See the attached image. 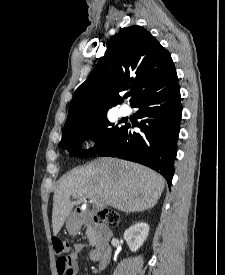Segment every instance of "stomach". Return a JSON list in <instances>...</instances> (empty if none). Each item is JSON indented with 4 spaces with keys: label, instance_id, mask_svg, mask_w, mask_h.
Returning a JSON list of instances; mask_svg holds the SVG:
<instances>
[{
    "label": "stomach",
    "instance_id": "obj_1",
    "mask_svg": "<svg viewBox=\"0 0 225 275\" xmlns=\"http://www.w3.org/2000/svg\"><path fill=\"white\" fill-rule=\"evenodd\" d=\"M67 229L72 234L76 233L78 231V229H79V226L76 223H74V220L71 217L68 219Z\"/></svg>",
    "mask_w": 225,
    "mask_h": 275
}]
</instances>
